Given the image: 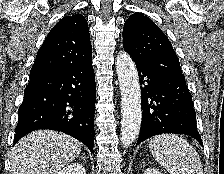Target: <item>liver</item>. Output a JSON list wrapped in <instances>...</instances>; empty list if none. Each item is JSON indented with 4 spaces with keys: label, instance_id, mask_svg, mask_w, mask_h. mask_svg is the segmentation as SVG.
Wrapping results in <instances>:
<instances>
[{
    "label": "liver",
    "instance_id": "6515ba94",
    "mask_svg": "<svg viewBox=\"0 0 224 174\" xmlns=\"http://www.w3.org/2000/svg\"><path fill=\"white\" fill-rule=\"evenodd\" d=\"M81 143L58 131L38 130L12 149L10 174H55L80 154Z\"/></svg>",
    "mask_w": 224,
    "mask_h": 174
}]
</instances>
